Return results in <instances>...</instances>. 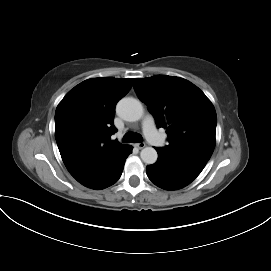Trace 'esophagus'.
<instances>
[{
  "instance_id": "34e87169",
  "label": "esophagus",
  "mask_w": 271,
  "mask_h": 271,
  "mask_svg": "<svg viewBox=\"0 0 271 271\" xmlns=\"http://www.w3.org/2000/svg\"><path fill=\"white\" fill-rule=\"evenodd\" d=\"M135 146H136L138 149H143V148L146 146V144H145L144 142H140V143L135 144Z\"/></svg>"
}]
</instances>
